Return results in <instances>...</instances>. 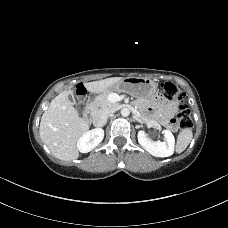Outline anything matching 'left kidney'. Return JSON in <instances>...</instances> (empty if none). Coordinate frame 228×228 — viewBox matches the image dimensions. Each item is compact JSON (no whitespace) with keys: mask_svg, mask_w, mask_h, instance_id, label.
<instances>
[{"mask_svg":"<svg viewBox=\"0 0 228 228\" xmlns=\"http://www.w3.org/2000/svg\"><path fill=\"white\" fill-rule=\"evenodd\" d=\"M164 141H152L148 138L144 131L138 132L139 144L152 156L155 157H169L174 153L175 138L169 130L162 131Z\"/></svg>","mask_w":228,"mask_h":228,"instance_id":"obj_1","label":"left kidney"}]
</instances>
